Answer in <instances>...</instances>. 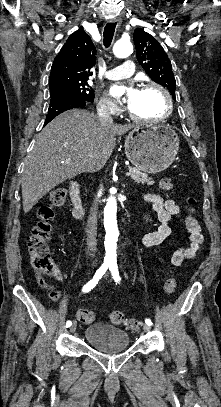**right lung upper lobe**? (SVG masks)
<instances>
[{"label":"right lung upper lobe","instance_id":"cb5924a9","mask_svg":"<svg viewBox=\"0 0 221 407\" xmlns=\"http://www.w3.org/2000/svg\"><path fill=\"white\" fill-rule=\"evenodd\" d=\"M96 49L83 29H78L67 39L55 57L49 77L50 90L70 84L87 82L95 65Z\"/></svg>","mask_w":221,"mask_h":407}]
</instances>
